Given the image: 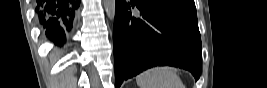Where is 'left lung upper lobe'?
<instances>
[{
	"label": "left lung upper lobe",
	"instance_id": "1",
	"mask_svg": "<svg viewBox=\"0 0 267 88\" xmlns=\"http://www.w3.org/2000/svg\"><path fill=\"white\" fill-rule=\"evenodd\" d=\"M147 3H155L163 6L177 8L196 14L194 0H144Z\"/></svg>",
	"mask_w": 267,
	"mask_h": 88
}]
</instances>
